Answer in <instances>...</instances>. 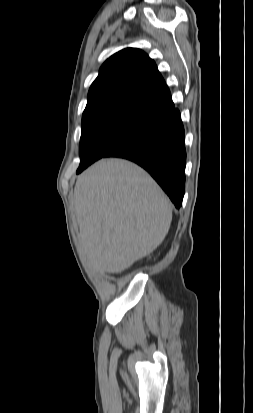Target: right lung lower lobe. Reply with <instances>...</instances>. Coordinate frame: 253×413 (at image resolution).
<instances>
[{"label": "right lung lower lobe", "mask_w": 253, "mask_h": 413, "mask_svg": "<svg viewBox=\"0 0 253 413\" xmlns=\"http://www.w3.org/2000/svg\"><path fill=\"white\" fill-rule=\"evenodd\" d=\"M184 138L181 115L174 108L105 157L125 158L143 167L167 193L175 207L180 208L185 192Z\"/></svg>", "instance_id": "right-lung-lower-lobe-1"}]
</instances>
